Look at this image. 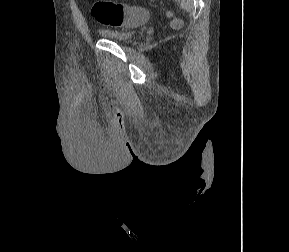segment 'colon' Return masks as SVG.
I'll list each match as a JSON object with an SVG mask.
<instances>
[{
  "label": "colon",
  "mask_w": 289,
  "mask_h": 252,
  "mask_svg": "<svg viewBox=\"0 0 289 252\" xmlns=\"http://www.w3.org/2000/svg\"><path fill=\"white\" fill-rule=\"evenodd\" d=\"M93 17L101 24L114 27H133L149 20V11L143 7L96 0L92 7Z\"/></svg>",
  "instance_id": "5ec220e1"
}]
</instances>
